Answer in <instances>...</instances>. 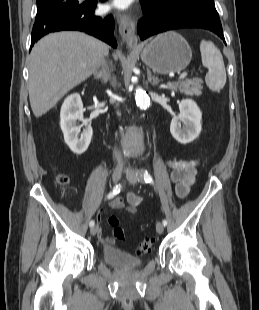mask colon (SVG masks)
Returning a JSON list of instances; mask_svg holds the SVG:
<instances>
[{
	"instance_id": "obj_1",
	"label": "colon",
	"mask_w": 259,
	"mask_h": 310,
	"mask_svg": "<svg viewBox=\"0 0 259 310\" xmlns=\"http://www.w3.org/2000/svg\"><path fill=\"white\" fill-rule=\"evenodd\" d=\"M58 182L62 185L68 183V178L65 175H60L58 177ZM109 225L113 228V237L118 240H122L125 237V232L123 228L119 226V219L116 216H110L108 218ZM156 240L154 238H145L141 242L138 243L136 247L137 254L144 255L149 253L154 245Z\"/></svg>"
}]
</instances>
